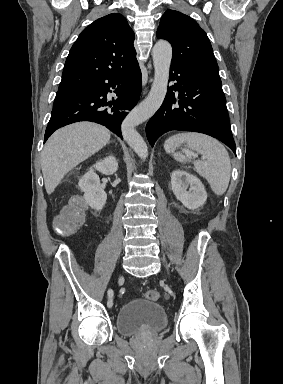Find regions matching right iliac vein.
Segmentation results:
<instances>
[{
    "mask_svg": "<svg viewBox=\"0 0 283 384\" xmlns=\"http://www.w3.org/2000/svg\"><path fill=\"white\" fill-rule=\"evenodd\" d=\"M122 280H123V276L120 275L118 278V282L120 283Z\"/></svg>",
    "mask_w": 283,
    "mask_h": 384,
    "instance_id": "obj_1",
    "label": "right iliac vein"
}]
</instances>
